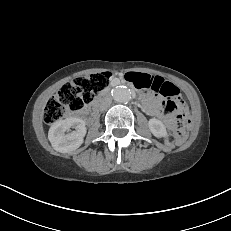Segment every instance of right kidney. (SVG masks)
Returning <instances> with one entry per match:
<instances>
[{"instance_id":"ca27d5eb","label":"right kidney","mask_w":231,"mask_h":231,"mask_svg":"<svg viewBox=\"0 0 231 231\" xmlns=\"http://www.w3.org/2000/svg\"><path fill=\"white\" fill-rule=\"evenodd\" d=\"M71 128L75 130L66 134ZM85 134V122L82 119L71 117L54 122L49 129L48 139L56 151L68 153L81 146Z\"/></svg>"}]
</instances>
